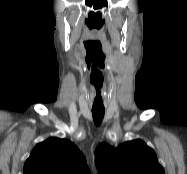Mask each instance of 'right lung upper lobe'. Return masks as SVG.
Masks as SVG:
<instances>
[{"instance_id": "1", "label": "right lung upper lobe", "mask_w": 187, "mask_h": 174, "mask_svg": "<svg viewBox=\"0 0 187 174\" xmlns=\"http://www.w3.org/2000/svg\"><path fill=\"white\" fill-rule=\"evenodd\" d=\"M23 174H90V170L86 158L71 141L50 138L35 146Z\"/></svg>"}]
</instances>
